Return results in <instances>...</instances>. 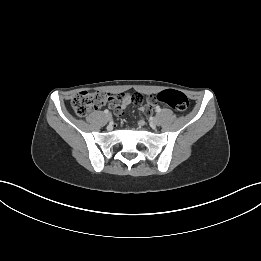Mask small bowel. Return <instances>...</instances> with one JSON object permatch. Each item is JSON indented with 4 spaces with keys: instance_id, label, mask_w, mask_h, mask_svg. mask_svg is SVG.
Here are the masks:
<instances>
[{
    "instance_id": "obj_1",
    "label": "small bowel",
    "mask_w": 261,
    "mask_h": 261,
    "mask_svg": "<svg viewBox=\"0 0 261 261\" xmlns=\"http://www.w3.org/2000/svg\"><path fill=\"white\" fill-rule=\"evenodd\" d=\"M119 96V103L114 102L110 104V107L117 110L119 113H122L129 106L130 102L136 106H143L141 107L142 112H147L153 107V99L149 98L147 95H142L139 93H123Z\"/></svg>"
}]
</instances>
